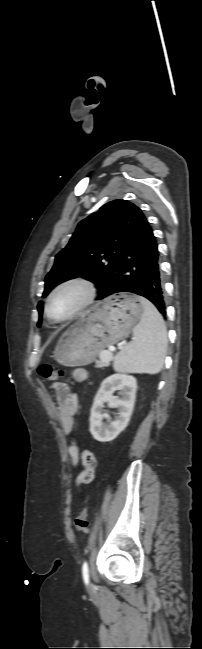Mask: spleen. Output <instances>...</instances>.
Wrapping results in <instances>:
<instances>
[{
  "instance_id": "1",
  "label": "spleen",
  "mask_w": 202,
  "mask_h": 649,
  "mask_svg": "<svg viewBox=\"0 0 202 649\" xmlns=\"http://www.w3.org/2000/svg\"><path fill=\"white\" fill-rule=\"evenodd\" d=\"M143 314L133 330L134 338L114 359V370L121 373L160 372L167 348L164 320L156 307L139 297Z\"/></svg>"
}]
</instances>
